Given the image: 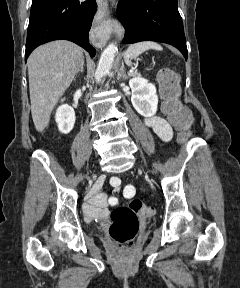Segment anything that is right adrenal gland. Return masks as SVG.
<instances>
[{"label":"right adrenal gland","mask_w":240,"mask_h":288,"mask_svg":"<svg viewBox=\"0 0 240 288\" xmlns=\"http://www.w3.org/2000/svg\"><path fill=\"white\" fill-rule=\"evenodd\" d=\"M84 71V61L82 62L81 66H80V70L77 71V74L80 72V73H83ZM74 81H75V78H74Z\"/></svg>","instance_id":"obj_1"}]
</instances>
